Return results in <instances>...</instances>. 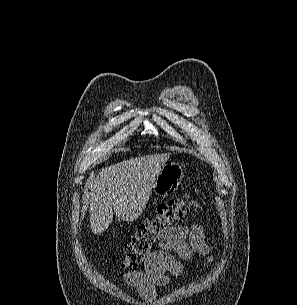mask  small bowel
<instances>
[{
  "label": "small bowel",
  "mask_w": 297,
  "mask_h": 305,
  "mask_svg": "<svg viewBox=\"0 0 297 305\" xmlns=\"http://www.w3.org/2000/svg\"><path fill=\"white\" fill-rule=\"evenodd\" d=\"M158 246L145 259L143 272L122 274L124 282L148 301L155 298L158 286L168 284L172 277L183 273V261L189 260L194 253L207 255L204 266L214 261V256L209 255V239L199 224H180L165 229L159 235Z\"/></svg>",
  "instance_id": "obj_1"
}]
</instances>
